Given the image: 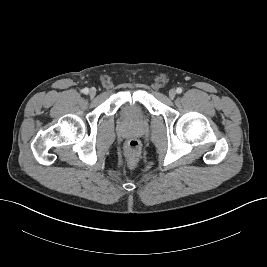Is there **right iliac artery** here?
<instances>
[{"label":"right iliac artery","mask_w":267,"mask_h":267,"mask_svg":"<svg viewBox=\"0 0 267 267\" xmlns=\"http://www.w3.org/2000/svg\"><path fill=\"white\" fill-rule=\"evenodd\" d=\"M88 92H89V89H88V88H84V89H83V93H84V94H88Z\"/></svg>","instance_id":"right-iliac-artery-1"}]
</instances>
